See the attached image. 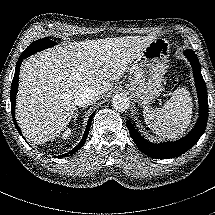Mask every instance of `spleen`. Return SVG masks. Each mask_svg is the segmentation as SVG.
<instances>
[{
  "instance_id": "spleen-1",
  "label": "spleen",
  "mask_w": 215,
  "mask_h": 215,
  "mask_svg": "<svg viewBox=\"0 0 215 215\" xmlns=\"http://www.w3.org/2000/svg\"><path fill=\"white\" fill-rule=\"evenodd\" d=\"M192 98L185 88L176 89L162 108L143 110L145 123L159 137L176 139L183 135L191 123Z\"/></svg>"
}]
</instances>
